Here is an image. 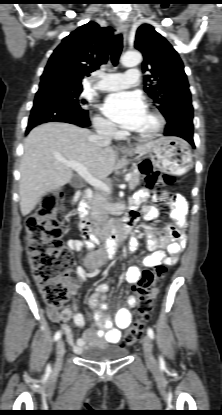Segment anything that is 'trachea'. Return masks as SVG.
Segmentation results:
<instances>
[{
    "label": "trachea",
    "mask_w": 222,
    "mask_h": 415,
    "mask_svg": "<svg viewBox=\"0 0 222 415\" xmlns=\"http://www.w3.org/2000/svg\"><path fill=\"white\" fill-rule=\"evenodd\" d=\"M123 48V37L122 34H118L114 37L113 48L111 53V62L116 66L119 62V58Z\"/></svg>",
    "instance_id": "trachea-1"
}]
</instances>
